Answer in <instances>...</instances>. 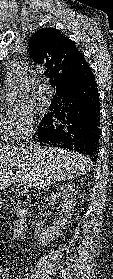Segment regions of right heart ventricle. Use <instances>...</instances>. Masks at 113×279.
<instances>
[{"label": "right heart ventricle", "mask_w": 113, "mask_h": 279, "mask_svg": "<svg viewBox=\"0 0 113 279\" xmlns=\"http://www.w3.org/2000/svg\"><path fill=\"white\" fill-rule=\"evenodd\" d=\"M7 140V135L4 129L3 121H2V116L0 120V145L5 143Z\"/></svg>", "instance_id": "obj_1"}]
</instances>
